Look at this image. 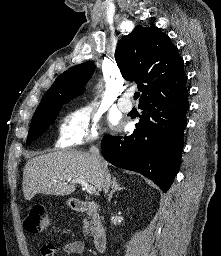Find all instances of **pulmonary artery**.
Returning <instances> with one entry per match:
<instances>
[{"label": "pulmonary artery", "mask_w": 221, "mask_h": 256, "mask_svg": "<svg viewBox=\"0 0 221 256\" xmlns=\"http://www.w3.org/2000/svg\"><path fill=\"white\" fill-rule=\"evenodd\" d=\"M132 92H125L119 99H118V107L123 112H130L133 108V104L131 102Z\"/></svg>", "instance_id": "1"}]
</instances>
